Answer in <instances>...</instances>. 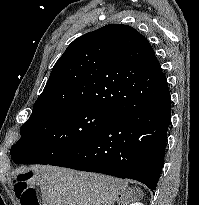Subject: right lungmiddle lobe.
I'll return each mask as SVG.
<instances>
[{"label":"right lung middle lobe","instance_id":"obj_1","mask_svg":"<svg viewBox=\"0 0 199 205\" xmlns=\"http://www.w3.org/2000/svg\"><path fill=\"white\" fill-rule=\"evenodd\" d=\"M89 105H59L33 110L10 150L15 164H50L87 143L114 118Z\"/></svg>","mask_w":199,"mask_h":205}]
</instances>
